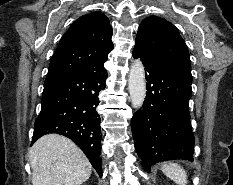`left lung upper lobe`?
I'll return each mask as SVG.
<instances>
[{"mask_svg": "<svg viewBox=\"0 0 233 185\" xmlns=\"http://www.w3.org/2000/svg\"><path fill=\"white\" fill-rule=\"evenodd\" d=\"M135 45L143 52L191 68L188 48L178 29L157 16L147 17L138 28Z\"/></svg>", "mask_w": 233, "mask_h": 185, "instance_id": "obj_1", "label": "left lung upper lobe"}]
</instances>
